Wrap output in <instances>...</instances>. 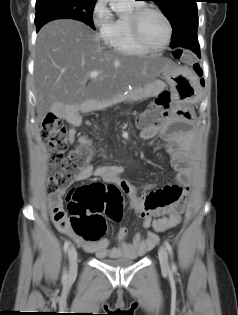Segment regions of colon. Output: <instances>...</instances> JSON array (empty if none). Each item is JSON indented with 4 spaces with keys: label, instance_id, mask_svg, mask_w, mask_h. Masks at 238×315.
I'll return each mask as SVG.
<instances>
[{
    "label": "colon",
    "instance_id": "5ec220e1",
    "mask_svg": "<svg viewBox=\"0 0 238 315\" xmlns=\"http://www.w3.org/2000/svg\"><path fill=\"white\" fill-rule=\"evenodd\" d=\"M173 56L190 65L202 82L203 69L192 52L177 49ZM169 104V93H161L138 117V127L142 130L154 128L167 115ZM42 136L49 143V165L52 171L47 191L54 194L68 188L74 182L78 173L89 165L93 150L90 142L84 139L66 154L67 129L63 122L53 114L45 117ZM68 209L73 231L85 241H97L105 233V217L113 221H119L122 218L121 190L115 184L101 182L76 187L69 193ZM174 223L175 220L172 217L166 216L155 220L153 227L156 231H165L174 227Z\"/></svg>",
    "mask_w": 238,
    "mask_h": 315
}]
</instances>
